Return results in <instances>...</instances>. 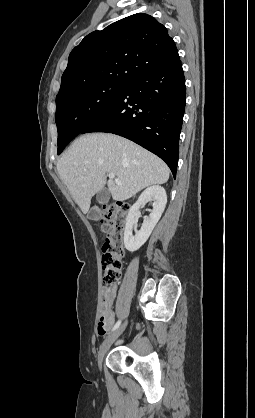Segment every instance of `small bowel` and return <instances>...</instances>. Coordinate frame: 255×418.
<instances>
[{
	"mask_svg": "<svg viewBox=\"0 0 255 418\" xmlns=\"http://www.w3.org/2000/svg\"><path fill=\"white\" fill-rule=\"evenodd\" d=\"M115 296V288H112L110 293L106 296L104 304L101 309V314L106 316V325L104 330L98 329V334L100 336L105 335L108 329L113 325L115 321V312L112 310V303Z\"/></svg>",
	"mask_w": 255,
	"mask_h": 418,
	"instance_id": "c3829d8e",
	"label": "small bowel"
}]
</instances>
